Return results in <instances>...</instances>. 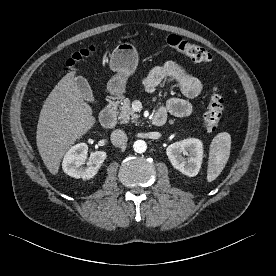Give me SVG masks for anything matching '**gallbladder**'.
Listing matches in <instances>:
<instances>
[{
  "instance_id": "1",
  "label": "gallbladder",
  "mask_w": 276,
  "mask_h": 276,
  "mask_svg": "<svg viewBox=\"0 0 276 276\" xmlns=\"http://www.w3.org/2000/svg\"><path fill=\"white\" fill-rule=\"evenodd\" d=\"M74 82L80 91L81 97L90 103H95V98L93 96V93L88 81L84 77L78 76V77H75Z\"/></svg>"
}]
</instances>
